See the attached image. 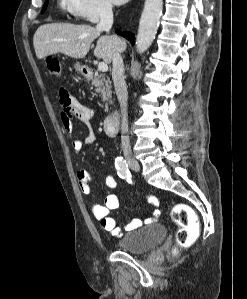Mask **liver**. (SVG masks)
Segmentation results:
<instances>
[{"label": "liver", "mask_w": 247, "mask_h": 299, "mask_svg": "<svg viewBox=\"0 0 247 299\" xmlns=\"http://www.w3.org/2000/svg\"><path fill=\"white\" fill-rule=\"evenodd\" d=\"M100 35L101 31L91 25L51 23L37 29L33 45L38 59L57 53L81 59L89 52L92 42L98 38L94 55L109 64L114 52L120 53L126 49V43L117 36Z\"/></svg>", "instance_id": "obj_1"}]
</instances>
